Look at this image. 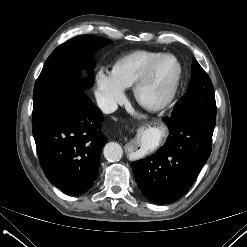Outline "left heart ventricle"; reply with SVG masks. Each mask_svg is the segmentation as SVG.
Masks as SVG:
<instances>
[{
    "instance_id": "1",
    "label": "left heart ventricle",
    "mask_w": 247,
    "mask_h": 247,
    "mask_svg": "<svg viewBox=\"0 0 247 247\" xmlns=\"http://www.w3.org/2000/svg\"><path fill=\"white\" fill-rule=\"evenodd\" d=\"M176 73L174 60H162L154 69L151 78L143 89V96L149 101L162 98L170 88Z\"/></svg>"
}]
</instances>
